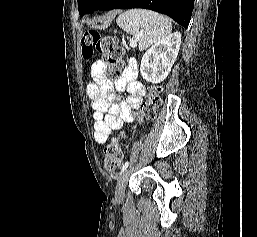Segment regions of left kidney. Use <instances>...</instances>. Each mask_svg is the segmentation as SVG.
Returning <instances> with one entry per match:
<instances>
[{
    "label": "left kidney",
    "instance_id": "obj_1",
    "mask_svg": "<svg viewBox=\"0 0 257 237\" xmlns=\"http://www.w3.org/2000/svg\"><path fill=\"white\" fill-rule=\"evenodd\" d=\"M181 45V34L172 33L157 42L144 54L140 72L143 79L160 83L169 75Z\"/></svg>",
    "mask_w": 257,
    "mask_h": 237
}]
</instances>
